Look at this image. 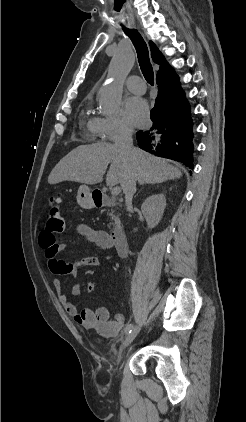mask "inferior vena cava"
<instances>
[{"label": "inferior vena cava", "mask_w": 246, "mask_h": 422, "mask_svg": "<svg viewBox=\"0 0 246 422\" xmlns=\"http://www.w3.org/2000/svg\"><path fill=\"white\" fill-rule=\"evenodd\" d=\"M133 129L129 126L121 127L118 135L116 136L114 142L115 146L120 150V152L126 156L130 162L129 171L125 184L123 185V191L125 194L126 205L129 206L132 203L133 194L136 191V180L137 172L133 163L135 157V150L133 148V139H132Z\"/></svg>", "instance_id": "inferior-vena-cava-1"}]
</instances>
